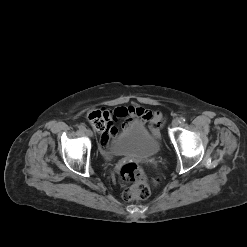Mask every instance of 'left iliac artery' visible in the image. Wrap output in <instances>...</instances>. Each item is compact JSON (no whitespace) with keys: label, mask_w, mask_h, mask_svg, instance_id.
I'll use <instances>...</instances> for the list:
<instances>
[{"label":"left iliac artery","mask_w":247,"mask_h":247,"mask_svg":"<svg viewBox=\"0 0 247 247\" xmlns=\"http://www.w3.org/2000/svg\"><path fill=\"white\" fill-rule=\"evenodd\" d=\"M185 121H186V119L184 117L179 118V123H184Z\"/></svg>","instance_id":"44dca946"}]
</instances>
